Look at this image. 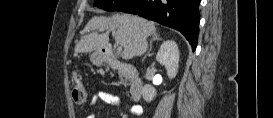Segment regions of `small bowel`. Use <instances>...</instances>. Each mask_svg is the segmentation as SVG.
Segmentation results:
<instances>
[{"mask_svg": "<svg viewBox=\"0 0 273 118\" xmlns=\"http://www.w3.org/2000/svg\"><path fill=\"white\" fill-rule=\"evenodd\" d=\"M99 104H106V105H113V106H119L122 104V100L120 97L107 92V91H98L97 93H95L93 95V97H91V99L89 100V103L87 105V113H88V117L89 118H93V112L96 109V107ZM130 113L133 115H140L142 113V108L140 106H131L129 108ZM125 117V116H124Z\"/></svg>", "mask_w": 273, "mask_h": 118, "instance_id": "1", "label": "small bowel"}]
</instances>
